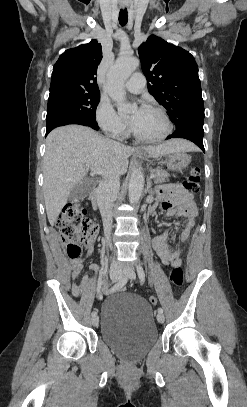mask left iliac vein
Returning <instances> with one entry per match:
<instances>
[{
    "instance_id": "obj_1",
    "label": "left iliac vein",
    "mask_w": 247,
    "mask_h": 407,
    "mask_svg": "<svg viewBox=\"0 0 247 407\" xmlns=\"http://www.w3.org/2000/svg\"><path fill=\"white\" fill-rule=\"evenodd\" d=\"M124 276H127L131 280L135 279L136 274H135L134 269L131 266L127 267L126 270L124 271ZM157 320H158L159 323L164 322L165 317H164L163 313H158L157 314Z\"/></svg>"
}]
</instances>
